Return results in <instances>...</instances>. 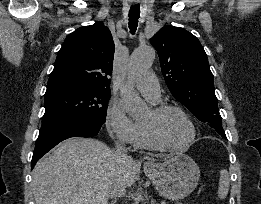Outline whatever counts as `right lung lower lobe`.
Wrapping results in <instances>:
<instances>
[{
	"instance_id": "1",
	"label": "right lung lower lobe",
	"mask_w": 261,
	"mask_h": 204,
	"mask_svg": "<svg viewBox=\"0 0 261 204\" xmlns=\"http://www.w3.org/2000/svg\"><path fill=\"white\" fill-rule=\"evenodd\" d=\"M102 123L87 119L57 121L42 125L33 152L31 169L36 162L61 141L71 137H93Z\"/></svg>"
}]
</instances>
